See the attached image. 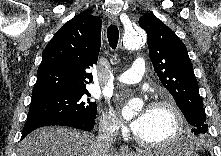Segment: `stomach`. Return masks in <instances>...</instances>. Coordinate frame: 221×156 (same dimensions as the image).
Here are the masks:
<instances>
[{"mask_svg":"<svg viewBox=\"0 0 221 156\" xmlns=\"http://www.w3.org/2000/svg\"><path fill=\"white\" fill-rule=\"evenodd\" d=\"M146 156H198L192 149L182 145H170L146 154Z\"/></svg>","mask_w":221,"mask_h":156,"instance_id":"obj_1","label":"stomach"}]
</instances>
